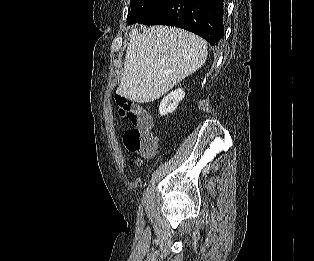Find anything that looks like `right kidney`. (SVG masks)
Masks as SVG:
<instances>
[{"mask_svg": "<svg viewBox=\"0 0 314 261\" xmlns=\"http://www.w3.org/2000/svg\"><path fill=\"white\" fill-rule=\"evenodd\" d=\"M184 96L185 92L181 88H178L165 96L159 106L160 115L164 116L175 111L178 104L183 100Z\"/></svg>", "mask_w": 314, "mask_h": 261, "instance_id": "right-kidney-1", "label": "right kidney"}]
</instances>
